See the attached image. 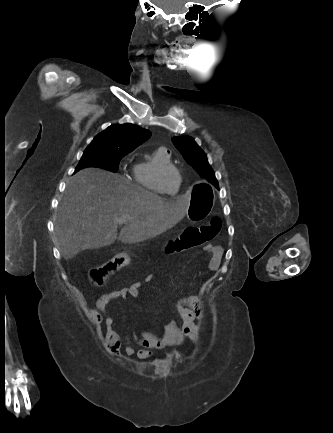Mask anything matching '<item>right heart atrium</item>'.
Returning <instances> with one entry per match:
<instances>
[{
	"label": "right heart atrium",
	"instance_id": "1",
	"mask_svg": "<svg viewBox=\"0 0 333 433\" xmlns=\"http://www.w3.org/2000/svg\"><path fill=\"white\" fill-rule=\"evenodd\" d=\"M132 160H133V158H132V154H128V155H126L123 159H122V162H121V169L124 171V172H126L127 171V169H128V167L131 165V163H132ZM134 168H135V166H132V170L134 171Z\"/></svg>",
	"mask_w": 333,
	"mask_h": 433
}]
</instances>
